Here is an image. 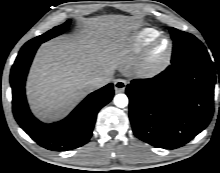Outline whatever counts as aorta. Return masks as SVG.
Masks as SVG:
<instances>
[{
  "mask_svg": "<svg viewBox=\"0 0 220 173\" xmlns=\"http://www.w3.org/2000/svg\"><path fill=\"white\" fill-rule=\"evenodd\" d=\"M114 104L117 107L124 108L128 105V97L125 94H117L114 97Z\"/></svg>",
  "mask_w": 220,
  "mask_h": 173,
  "instance_id": "762f6f07",
  "label": "aorta"
}]
</instances>
